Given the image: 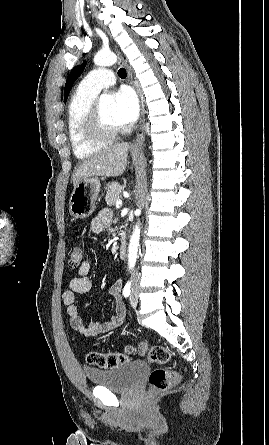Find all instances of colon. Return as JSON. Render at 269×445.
<instances>
[{"instance_id":"colon-1","label":"colon","mask_w":269,"mask_h":445,"mask_svg":"<svg viewBox=\"0 0 269 445\" xmlns=\"http://www.w3.org/2000/svg\"><path fill=\"white\" fill-rule=\"evenodd\" d=\"M83 259V251L80 246H73L69 250V265L71 268H78ZM135 350L129 347L126 353H100L90 351L87 354V362L101 368H115L124 365L130 361V354ZM137 352L140 355H147L148 359L156 364H167L171 359V354L167 348L161 345H155L148 348L144 342L139 343ZM179 380L175 371L166 368H156L149 375L150 390L154 393H160L168 390Z\"/></svg>"}]
</instances>
